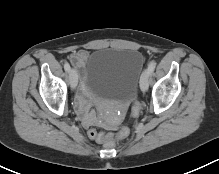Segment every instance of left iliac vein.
<instances>
[{
	"mask_svg": "<svg viewBox=\"0 0 219 174\" xmlns=\"http://www.w3.org/2000/svg\"><path fill=\"white\" fill-rule=\"evenodd\" d=\"M149 72L148 70H145L140 78V89L141 91L145 92L148 89V83H149Z\"/></svg>",
	"mask_w": 219,
	"mask_h": 174,
	"instance_id": "4c4485c4",
	"label": "left iliac vein"
}]
</instances>
